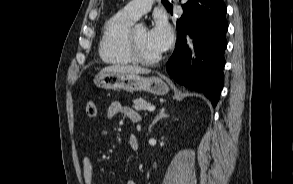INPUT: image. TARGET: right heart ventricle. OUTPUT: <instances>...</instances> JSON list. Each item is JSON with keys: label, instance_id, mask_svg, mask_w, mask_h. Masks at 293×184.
Listing matches in <instances>:
<instances>
[{"label": "right heart ventricle", "instance_id": "obj_1", "mask_svg": "<svg viewBox=\"0 0 293 184\" xmlns=\"http://www.w3.org/2000/svg\"><path fill=\"white\" fill-rule=\"evenodd\" d=\"M135 21L123 11L106 21L99 43V55L104 62L118 65L134 62L128 50V34Z\"/></svg>", "mask_w": 293, "mask_h": 184}]
</instances>
